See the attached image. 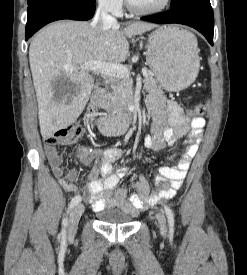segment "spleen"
<instances>
[{
    "instance_id": "spleen-1",
    "label": "spleen",
    "mask_w": 247,
    "mask_h": 275,
    "mask_svg": "<svg viewBox=\"0 0 247 275\" xmlns=\"http://www.w3.org/2000/svg\"><path fill=\"white\" fill-rule=\"evenodd\" d=\"M188 37L193 42L194 46L197 47V41H196L195 37L191 33L188 34Z\"/></svg>"
}]
</instances>
